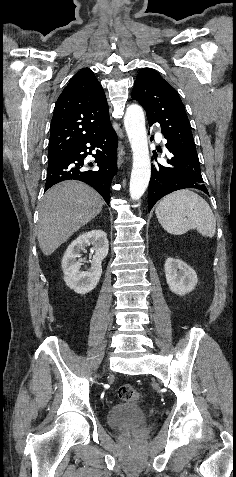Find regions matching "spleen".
I'll return each mask as SVG.
<instances>
[{
	"label": "spleen",
	"mask_w": 236,
	"mask_h": 477,
	"mask_svg": "<svg viewBox=\"0 0 236 477\" xmlns=\"http://www.w3.org/2000/svg\"><path fill=\"white\" fill-rule=\"evenodd\" d=\"M155 214L164 230L173 235L196 229L202 236L212 238L216 232V220L209 204L191 190H179L164 197Z\"/></svg>",
	"instance_id": "obj_1"
}]
</instances>
